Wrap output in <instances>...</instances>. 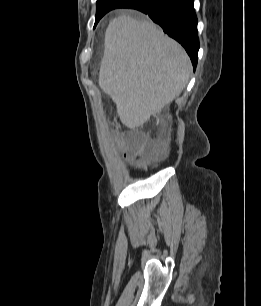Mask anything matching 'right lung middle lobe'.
<instances>
[{"label": "right lung middle lobe", "mask_w": 261, "mask_h": 306, "mask_svg": "<svg viewBox=\"0 0 261 306\" xmlns=\"http://www.w3.org/2000/svg\"><path fill=\"white\" fill-rule=\"evenodd\" d=\"M128 0H107L100 3H97L96 11V22L102 18L108 11L119 8L124 5ZM95 22V25H96Z\"/></svg>", "instance_id": "1"}]
</instances>
